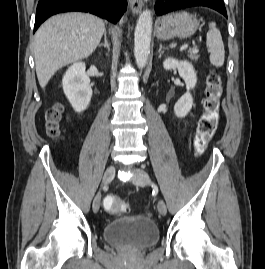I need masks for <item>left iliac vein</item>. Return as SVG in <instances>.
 I'll list each match as a JSON object with an SVG mask.
<instances>
[{"mask_svg": "<svg viewBox=\"0 0 265 269\" xmlns=\"http://www.w3.org/2000/svg\"><path fill=\"white\" fill-rule=\"evenodd\" d=\"M135 176L132 179L133 184L137 185V186H147L148 184H150V178L149 175L147 174V172H145L142 169H135L134 170ZM157 208L159 213L162 216H165L167 213V207L166 204L163 200H159L158 204H157Z\"/></svg>", "mask_w": 265, "mask_h": 269, "instance_id": "4c4485c4", "label": "left iliac vein"}]
</instances>
